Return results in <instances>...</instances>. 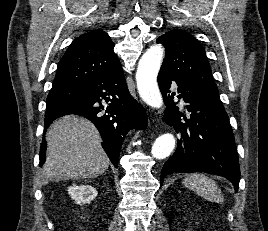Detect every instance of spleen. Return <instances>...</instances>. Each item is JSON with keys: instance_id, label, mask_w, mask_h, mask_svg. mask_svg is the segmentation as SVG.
<instances>
[{"instance_id": "1", "label": "spleen", "mask_w": 268, "mask_h": 231, "mask_svg": "<svg viewBox=\"0 0 268 231\" xmlns=\"http://www.w3.org/2000/svg\"><path fill=\"white\" fill-rule=\"evenodd\" d=\"M183 184L196 192L199 196L217 203H223L224 197L218 189L214 180L199 173L188 175Z\"/></svg>"}]
</instances>
